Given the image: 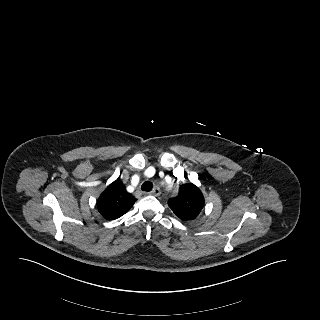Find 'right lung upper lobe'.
Returning <instances> with one entry per match:
<instances>
[{
	"label": "right lung upper lobe",
	"instance_id": "obj_1",
	"mask_svg": "<svg viewBox=\"0 0 320 320\" xmlns=\"http://www.w3.org/2000/svg\"><path fill=\"white\" fill-rule=\"evenodd\" d=\"M118 180L112 182L97 200L99 213L107 220H114L127 213L136 202Z\"/></svg>",
	"mask_w": 320,
	"mask_h": 320
}]
</instances>
